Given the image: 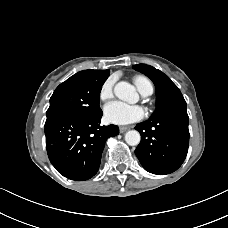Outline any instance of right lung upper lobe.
Returning <instances> with one entry per match:
<instances>
[{
    "mask_svg": "<svg viewBox=\"0 0 228 228\" xmlns=\"http://www.w3.org/2000/svg\"><path fill=\"white\" fill-rule=\"evenodd\" d=\"M98 70H83V71H80L78 72L77 74L79 75H90V74H93V73H96Z\"/></svg>",
    "mask_w": 228,
    "mask_h": 228,
    "instance_id": "1",
    "label": "right lung upper lobe"
}]
</instances>
